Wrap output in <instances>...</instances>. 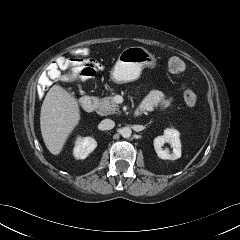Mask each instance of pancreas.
Here are the masks:
<instances>
[{
  "label": "pancreas",
  "mask_w": 240,
  "mask_h": 240,
  "mask_svg": "<svg viewBox=\"0 0 240 240\" xmlns=\"http://www.w3.org/2000/svg\"><path fill=\"white\" fill-rule=\"evenodd\" d=\"M97 101V113L101 116L111 115L119 111V106L113 101L112 96H106L101 99L98 98ZM172 101V98L165 100L161 105V110H165L167 107H169Z\"/></svg>",
  "instance_id": "cf45deb5"
}]
</instances>
